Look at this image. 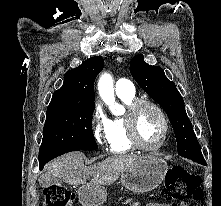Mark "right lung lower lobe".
Wrapping results in <instances>:
<instances>
[{"instance_id": "obj_1", "label": "right lung lower lobe", "mask_w": 221, "mask_h": 206, "mask_svg": "<svg viewBox=\"0 0 221 206\" xmlns=\"http://www.w3.org/2000/svg\"><path fill=\"white\" fill-rule=\"evenodd\" d=\"M46 163H47V162H45V161H44V162H39V164H40V169H42Z\"/></svg>"}]
</instances>
